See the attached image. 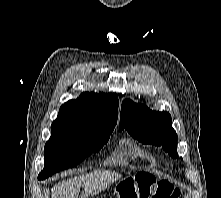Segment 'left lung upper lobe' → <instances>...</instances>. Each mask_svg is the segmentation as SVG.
<instances>
[{"instance_id":"obj_1","label":"left lung upper lobe","mask_w":221,"mask_h":198,"mask_svg":"<svg viewBox=\"0 0 221 198\" xmlns=\"http://www.w3.org/2000/svg\"><path fill=\"white\" fill-rule=\"evenodd\" d=\"M129 134L143 144L162 146L168 154L178 158L177 134L171 127L168 112H156L145 105L124 100L120 114V130Z\"/></svg>"}]
</instances>
